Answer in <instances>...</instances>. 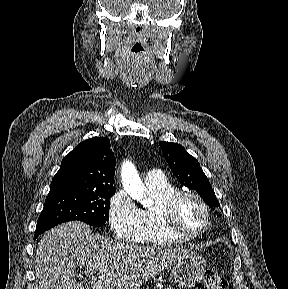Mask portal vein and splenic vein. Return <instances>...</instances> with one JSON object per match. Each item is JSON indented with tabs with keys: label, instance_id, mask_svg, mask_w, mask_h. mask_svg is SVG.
Instances as JSON below:
<instances>
[{
	"label": "portal vein and splenic vein",
	"instance_id": "portal-vein-and-splenic-vein-1",
	"mask_svg": "<svg viewBox=\"0 0 288 289\" xmlns=\"http://www.w3.org/2000/svg\"><path fill=\"white\" fill-rule=\"evenodd\" d=\"M90 283H91V285H92V287H93L94 289H103L102 284H101L99 281H97L96 279H94V278H92V280L90 281Z\"/></svg>",
	"mask_w": 288,
	"mask_h": 289
}]
</instances>
